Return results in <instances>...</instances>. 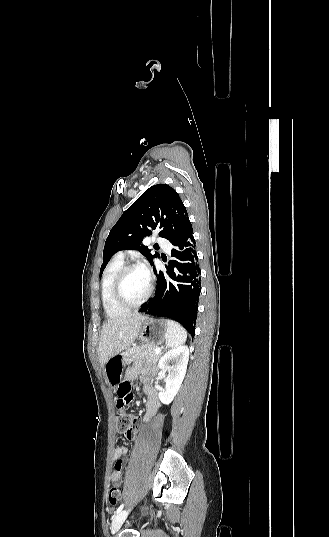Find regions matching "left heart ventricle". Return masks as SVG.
<instances>
[{
	"label": "left heart ventricle",
	"mask_w": 329,
	"mask_h": 537,
	"mask_svg": "<svg viewBox=\"0 0 329 537\" xmlns=\"http://www.w3.org/2000/svg\"><path fill=\"white\" fill-rule=\"evenodd\" d=\"M148 285L149 278L140 268L134 269L127 273L124 278L122 285L123 295L128 302H137L145 295Z\"/></svg>",
	"instance_id": "1"
}]
</instances>
